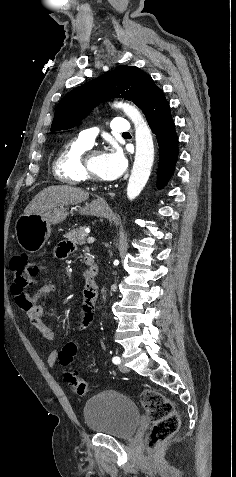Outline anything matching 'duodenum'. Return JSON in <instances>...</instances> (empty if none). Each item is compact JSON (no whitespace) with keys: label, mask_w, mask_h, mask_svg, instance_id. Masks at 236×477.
<instances>
[{"label":"duodenum","mask_w":236,"mask_h":477,"mask_svg":"<svg viewBox=\"0 0 236 477\" xmlns=\"http://www.w3.org/2000/svg\"><path fill=\"white\" fill-rule=\"evenodd\" d=\"M85 260V258H84ZM89 270L87 281L90 285L96 288V275H97V264L93 257H88L85 261Z\"/></svg>","instance_id":"410a0bca"}]
</instances>
